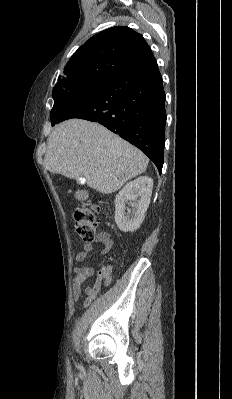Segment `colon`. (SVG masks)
Returning <instances> with one entry per match:
<instances>
[{"mask_svg":"<svg viewBox=\"0 0 232 399\" xmlns=\"http://www.w3.org/2000/svg\"><path fill=\"white\" fill-rule=\"evenodd\" d=\"M95 213H102L101 205L95 206ZM95 218L96 215L92 214V211H89L88 208H85L84 211L77 209L74 212V231H77L75 237L80 235V239H93L94 225L92 219ZM105 284H113V273L105 272V275L98 277V281L93 285V298H98V290H105Z\"/></svg>","mask_w":232,"mask_h":399,"instance_id":"colon-1","label":"colon"}]
</instances>
